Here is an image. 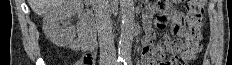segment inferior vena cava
<instances>
[{
	"label": "inferior vena cava",
	"mask_w": 232,
	"mask_h": 65,
	"mask_svg": "<svg viewBox=\"0 0 232 65\" xmlns=\"http://www.w3.org/2000/svg\"><path fill=\"white\" fill-rule=\"evenodd\" d=\"M102 60H116L108 0H92Z\"/></svg>",
	"instance_id": "obj_1"
}]
</instances>
